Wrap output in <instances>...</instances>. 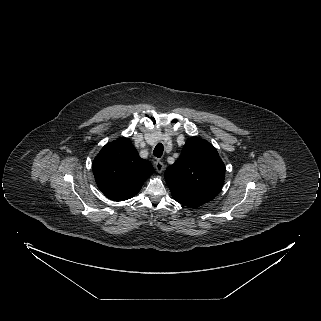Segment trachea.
Returning a JSON list of instances; mask_svg holds the SVG:
<instances>
[{"label":"trachea","instance_id":"3493384b","mask_svg":"<svg viewBox=\"0 0 321 321\" xmlns=\"http://www.w3.org/2000/svg\"><path fill=\"white\" fill-rule=\"evenodd\" d=\"M153 154L157 158H160L162 156V154H163V144L162 143H158L156 145Z\"/></svg>","mask_w":321,"mask_h":321}]
</instances>
